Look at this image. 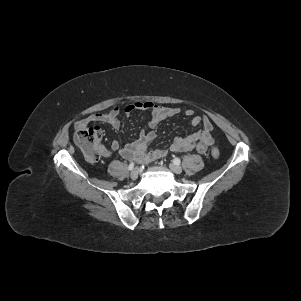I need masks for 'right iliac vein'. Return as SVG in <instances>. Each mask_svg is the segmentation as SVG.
<instances>
[{"instance_id": "right-iliac-vein-1", "label": "right iliac vein", "mask_w": 301, "mask_h": 301, "mask_svg": "<svg viewBox=\"0 0 301 301\" xmlns=\"http://www.w3.org/2000/svg\"><path fill=\"white\" fill-rule=\"evenodd\" d=\"M139 175V169L138 168H134L130 174L131 179L136 180L138 178Z\"/></svg>"}]
</instances>
